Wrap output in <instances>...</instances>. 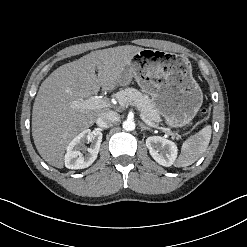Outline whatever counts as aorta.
<instances>
[{
  "mask_svg": "<svg viewBox=\"0 0 247 247\" xmlns=\"http://www.w3.org/2000/svg\"><path fill=\"white\" fill-rule=\"evenodd\" d=\"M123 128L126 131H133L135 129V122L133 120H126L123 122Z\"/></svg>",
  "mask_w": 247,
  "mask_h": 247,
  "instance_id": "obj_1",
  "label": "aorta"
}]
</instances>
